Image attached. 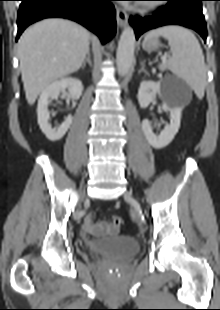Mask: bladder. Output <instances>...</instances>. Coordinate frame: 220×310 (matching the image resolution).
Returning a JSON list of instances; mask_svg holds the SVG:
<instances>
[{
	"label": "bladder",
	"instance_id": "bladder-1",
	"mask_svg": "<svg viewBox=\"0 0 220 310\" xmlns=\"http://www.w3.org/2000/svg\"><path fill=\"white\" fill-rule=\"evenodd\" d=\"M87 249L90 253L113 260H125L139 252V243L128 237H108L93 239L88 242Z\"/></svg>",
	"mask_w": 220,
	"mask_h": 310
}]
</instances>
